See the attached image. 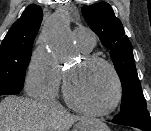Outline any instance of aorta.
Returning a JSON list of instances; mask_svg holds the SVG:
<instances>
[{
	"label": "aorta",
	"mask_w": 151,
	"mask_h": 131,
	"mask_svg": "<svg viewBox=\"0 0 151 131\" xmlns=\"http://www.w3.org/2000/svg\"><path fill=\"white\" fill-rule=\"evenodd\" d=\"M45 41L53 49L58 61H68L76 56L73 41L67 28V17L64 14L54 16L47 24Z\"/></svg>",
	"instance_id": "aorta-1"
}]
</instances>
